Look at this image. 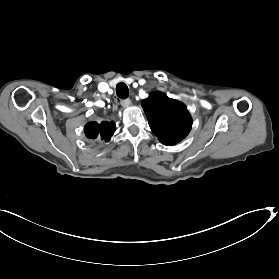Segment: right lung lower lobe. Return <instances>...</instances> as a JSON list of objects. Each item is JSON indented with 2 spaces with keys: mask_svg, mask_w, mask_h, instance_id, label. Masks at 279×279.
<instances>
[{
  "mask_svg": "<svg viewBox=\"0 0 279 279\" xmlns=\"http://www.w3.org/2000/svg\"><path fill=\"white\" fill-rule=\"evenodd\" d=\"M84 130L88 138L96 139L98 137L108 142L115 131V124L113 121H103L100 124L97 122H89L86 124Z\"/></svg>",
  "mask_w": 279,
  "mask_h": 279,
  "instance_id": "98d812e1",
  "label": "right lung lower lobe"
}]
</instances>
